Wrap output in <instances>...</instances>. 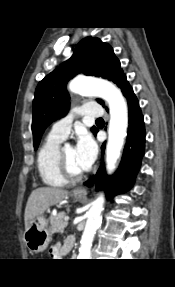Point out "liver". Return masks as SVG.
Here are the masks:
<instances>
[{"label": "liver", "instance_id": "obj_1", "mask_svg": "<svg viewBox=\"0 0 175 287\" xmlns=\"http://www.w3.org/2000/svg\"><path fill=\"white\" fill-rule=\"evenodd\" d=\"M67 196L68 191L61 188L40 187L33 190L25 207V229L33 218L42 216L50 206L58 204Z\"/></svg>", "mask_w": 175, "mask_h": 287}]
</instances>
